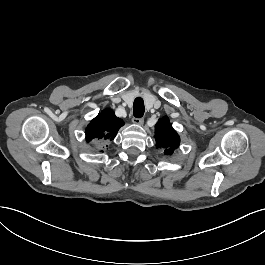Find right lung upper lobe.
<instances>
[{
  "label": "right lung upper lobe",
  "instance_id": "right-lung-upper-lobe-1",
  "mask_svg": "<svg viewBox=\"0 0 265 265\" xmlns=\"http://www.w3.org/2000/svg\"><path fill=\"white\" fill-rule=\"evenodd\" d=\"M123 125V120L117 118L113 110L107 108L99 113L87 126L85 131L86 140L88 142L92 139L112 141Z\"/></svg>",
  "mask_w": 265,
  "mask_h": 265
}]
</instances>
